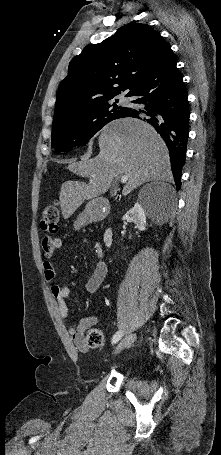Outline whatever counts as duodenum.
<instances>
[{
    "label": "duodenum",
    "instance_id": "1",
    "mask_svg": "<svg viewBox=\"0 0 221 455\" xmlns=\"http://www.w3.org/2000/svg\"><path fill=\"white\" fill-rule=\"evenodd\" d=\"M108 207L105 202L101 203L95 208V219H102L107 215ZM114 235L112 228H107L104 232L103 241L107 247H110L113 243Z\"/></svg>",
    "mask_w": 221,
    "mask_h": 455
}]
</instances>
